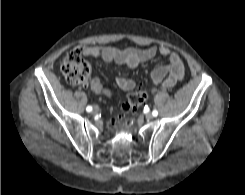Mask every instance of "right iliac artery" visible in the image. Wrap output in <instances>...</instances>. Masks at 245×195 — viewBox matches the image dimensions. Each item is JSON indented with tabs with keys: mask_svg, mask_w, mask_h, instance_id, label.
Listing matches in <instances>:
<instances>
[{
	"mask_svg": "<svg viewBox=\"0 0 245 195\" xmlns=\"http://www.w3.org/2000/svg\"><path fill=\"white\" fill-rule=\"evenodd\" d=\"M86 111L87 112H91L92 111V107L91 106H87Z\"/></svg>",
	"mask_w": 245,
	"mask_h": 195,
	"instance_id": "right-iliac-artery-1",
	"label": "right iliac artery"
}]
</instances>
